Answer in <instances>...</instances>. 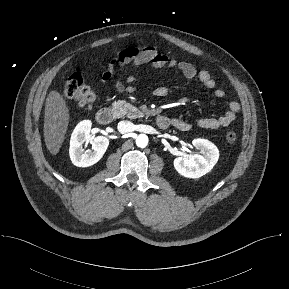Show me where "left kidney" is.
I'll list each match as a JSON object with an SVG mask.
<instances>
[{
	"label": "left kidney",
	"instance_id": "left-kidney-1",
	"mask_svg": "<svg viewBox=\"0 0 289 289\" xmlns=\"http://www.w3.org/2000/svg\"><path fill=\"white\" fill-rule=\"evenodd\" d=\"M192 145L200 150L201 155L177 157L174 160V167L184 177L199 178L215 166L219 158V150L212 142L201 138L194 139Z\"/></svg>",
	"mask_w": 289,
	"mask_h": 289
}]
</instances>
